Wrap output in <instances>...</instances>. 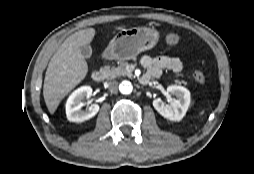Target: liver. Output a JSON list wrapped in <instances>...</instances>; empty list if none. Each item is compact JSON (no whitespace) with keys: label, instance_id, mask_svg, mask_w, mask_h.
Masks as SVG:
<instances>
[{"label":"liver","instance_id":"liver-1","mask_svg":"<svg viewBox=\"0 0 254 174\" xmlns=\"http://www.w3.org/2000/svg\"><path fill=\"white\" fill-rule=\"evenodd\" d=\"M94 36V28L75 32L59 46L51 58L43 85L44 100L51 114L56 111L61 100L86 77L88 64L80 48L90 44Z\"/></svg>","mask_w":254,"mask_h":174}]
</instances>
